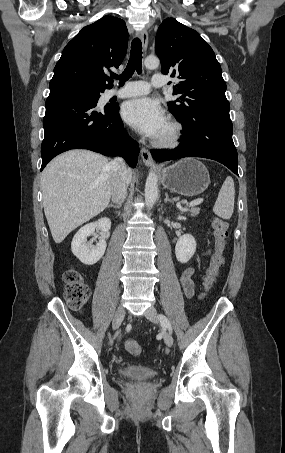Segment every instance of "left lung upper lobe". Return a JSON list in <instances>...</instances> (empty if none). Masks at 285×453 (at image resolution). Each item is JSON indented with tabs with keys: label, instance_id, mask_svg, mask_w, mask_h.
<instances>
[{
	"label": "left lung upper lobe",
	"instance_id": "5c2ea615",
	"mask_svg": "<svg viewBox=\"0 0 285 453\" xmlns=\"http://www.w3.org/2000/svg\"><path fill=\"white\" fill-rule=\"evenodd\" d=\"M155 52L162 72L180 79L173 87V95L181 96L168 103L178 120L189 119L197 113L229 116L230 105L220 64L198 32L174 18H167L158 29Z\"/></svg>",
	"mask_w": 285,
	"mask_h": 453
}]
</instances>
